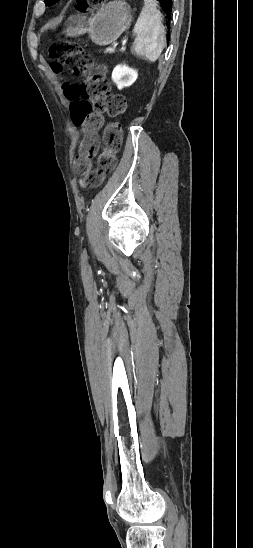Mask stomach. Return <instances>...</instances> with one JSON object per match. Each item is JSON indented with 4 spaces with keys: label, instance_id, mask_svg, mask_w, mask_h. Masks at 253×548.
I'll return each mask as SVG.
<instances>
[{
    "label": "stomach",
    "instance_id": "stomach-1",
    "mask_svg": "<svg viewBox=\"0 0 253 548\" xmlns=\"http://www.w3.org/2000/svg\"><path fill=\"white\" fill-rule=\"evenodd\" d=\"M131 19L130 6L122 0L113 1L103 6L88 20L80 15L70 17L65 33L71 37L88 33L95 44L105 46L119 38Z\"/></svg>",
    "mask_w": 253,
    "mask_h": 548
}]
</instances>
